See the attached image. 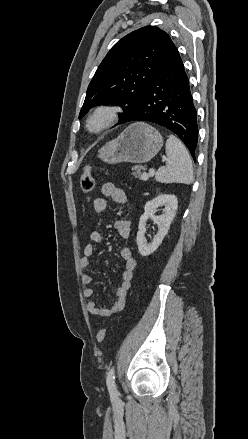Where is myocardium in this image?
<instances>
[{
	"instance_id": "f54148a6",
	"label": "myocardium",
	"mask_w": 248,
	"mask_h": 439,
	"mask_svg": "<svg viewBox=\"0 0 248 439\" xmlns=\"http://www.w3.org/2000/svg\"><path fill=\"white\" fill-rule=\"evenodd\" d=\"M119 120V109L111 105L95 107L87 116L85 128L90 134H100L114 126Z\"/></svg>"
}]
</instances>
